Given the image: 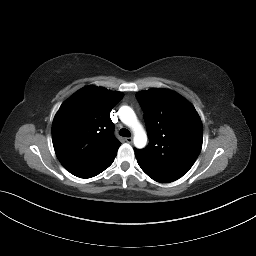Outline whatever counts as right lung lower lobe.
<instances>
[{
	"label": "right lung lower lobe",
	"mask_w": 256,
	"mask_h": 256,
	"mask_svg": "<svg viewBox=\"0 0 256 256\" xmlns=\"http://www.w3.org/2000/svg\"><path fill=\"white\" fill-rule=\"evenodd\" d=\"M115 156H113L112 158H110L104 162L74 171V172H72V174L77 177H80V178L94 177V176L98 175L99 173H101L102 171H104L106 168H108L113 163Z\"/></svg>",
	"instance_id": "1"
}]
</instances>
